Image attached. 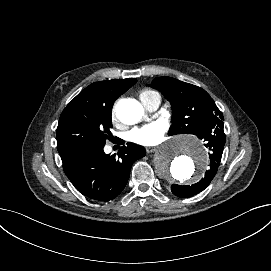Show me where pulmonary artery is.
Instances as JSON below:
<instances>
[{"label":"pulmonary artery","mask_w":271,"mask_h":271,"mask_svg":"<svg viewBox=\"0 0 271 271\" xmlns=\"http://www.w3.org/2000/svg\"><path fill=\"white\" fill-rule=\"evenodd\" d=\"M143 105L150 111H155L159 105H160V102H161V99L159 96L157 95H153V96H150V97H147L143 100H141ZM109 151V147H106L105 148V152H108Z\"/></svg>","instance_id":"pulmonary-artery-1"}]
</instances>
